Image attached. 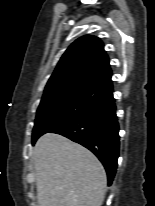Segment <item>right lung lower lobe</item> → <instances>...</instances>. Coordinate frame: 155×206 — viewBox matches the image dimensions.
Wrapping results in <instances>:
<instances>
[{"label":"right lung lower lobe","mask_w":155,"mask_h":206,"mask_svg":"<svg viewBox=\"0 0 155 206\" xmlns=\"http://www.w3.org/2000/svg\"><path fill=\"white\" fill-rule=\"evenodd\" d=\"M115 110L111 92L96 105L49 131L91 150L104 165L109 185L116 173L119 156V125Z\"/></svg>","instance_id":"98d812e1"}]
</instances>
